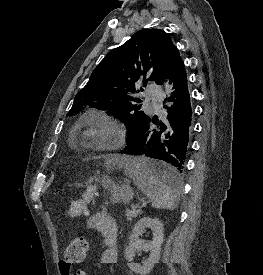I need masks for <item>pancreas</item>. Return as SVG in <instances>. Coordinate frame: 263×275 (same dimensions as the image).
<instances>
[{
    "label": "pancreas",
    "instance_id": "1",
    "mask_svg": "<svg viewBox=\"0 0 263 275\" xmlns=\"http://www.w3.org/2000/svg\"><path fill=\"white\" fill-rule=\"evenodd\" d=\"M142 212L140 210H126V218L127 220H131L134 217H137L139 214H141Z\"/></svg>",
    "mask_w": 263,
    "mask_h": 275
}]
</instances>
